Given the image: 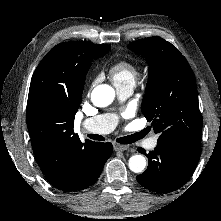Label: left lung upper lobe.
<instances>
[{
    "label": "left lung upper lobe",
    "instance_id": "1",
    "mask_svg": "<svg viewBox=\"0 0 221 221\" xmlns=\"http://www.w3.org/2000/svg\"><path fill=\"white\" fill-rule=\"evenodd\" d=\"M128 47L143 55L149 65L141 110L160 134L157 142L200 146L202 117L197 86L185 57L158 36L133 41Z\"/></svg>",
    "mask_w": 221,
    "mask_h": 221
}]
</instances>
